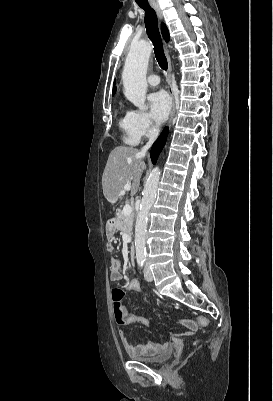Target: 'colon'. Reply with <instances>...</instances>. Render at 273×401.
I'll return each instance as SVG.
<instances>
[{
  "label": "colon",
  "instance_id": "1",
  "mask_svg": "<svg viewBox=\"0 0 273 401\" xmlns=\"http://www.w3.org/2000/svg\"><path fill=\"white\" fill-rule=\"evenodd\" d=\"M145 288V285L143 283H133V284H128L126 286V289L128 291H134L137 290L138 293H142L143 289ZM124 295V290L122 287H118L115 292L113 293L114 296V301H113V314H114V319L117 325H123L125 323V318H124V311L121 306V298ZM185 325H190L188 328V332L194 330L195 326L194 324H191V322H185ZM199 325L208 328L212 325V322L208 319L200 320ZM193 347H198L201 345L202 340L199 337H195L192 340Z\"/></svg>",
  "mask_w": 273,
  "mask_h": 401
}]
</instances>
